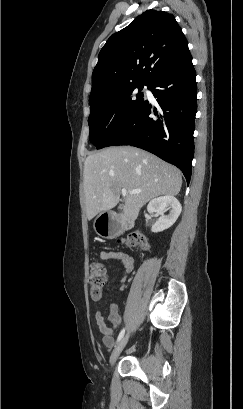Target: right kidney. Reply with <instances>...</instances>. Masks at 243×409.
<instances>
[{"label": "right kidney", "mask_w": 243, "mask_h": 409, "mask_svg": "<svg viewBox=\"0 0 243 409\" xmlns=\"http://www.w3.org/2000/svg\"><path fill=\"white\" fill-rule=\"evenodd\" d=\"M168 209H171L170 213L164 215L163 213ZM147 211L150 214L154 212L161 214L160 218L151 228L152 232L157 233L170 228L176 222L182 211V207L174 196H161L149 202Z\"/></svg>", "instance_id": "ca27d5eb"}]
</instances>
